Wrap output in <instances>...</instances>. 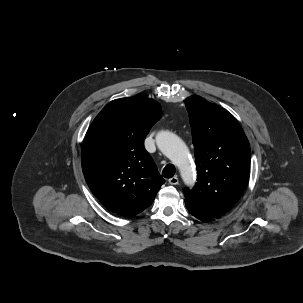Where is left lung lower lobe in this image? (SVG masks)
Instances as JSON below:
<instances>
[{
  "label": "left lung lower lobe",
  "mask_w": 303,
  "mask_h": 303,
  "mask_svg": "<svg viewBox=\"0 0 303 303\" xmlns=\"http://www.w3.org/2000/svg\"><path fill=\"white\" fill-rule=\"evenodd\" d=\"M188 211L196 218H198L199 220L201 221H204V222H210L212 220H214L215 218L212 217L211 215L203 212V211H200V210H197V209H194L188 205H186Z\"/></svg>",
  "instance_id": "obj_1"
}]
</instances>
